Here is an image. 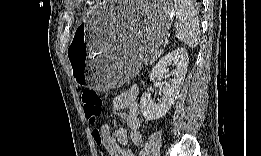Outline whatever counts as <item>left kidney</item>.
<instances>
[{
    "mask_svg": "<svg viewBox=\"0 0 261 156\" xmlns=\"http://www.w3.org/2000/svg\"><path fill=\"white\" fill-rule=\"evenodd\" d=\"M189 63L188 53L184 48H177L163 56L150 73V81L156 77L168 76V66L173 64L175 69L171 72L172 79L162 88L163 96L159 103L152 100L150 93L146 92L140 99L142 115L146 120H157L162 118L174 104L183 85L185 74Z\"/></svg>",
    "mask_w": 261,
    "mask_h": 156,
    "instance_id": "left-kidney-1",
    "label": "left kidney"
}]
</instances>
